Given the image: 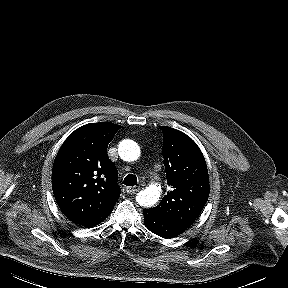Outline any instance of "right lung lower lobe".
<instances>
[{"instance_id":"obj_1","label":"right lung lower lobe","mask_w":288,"mask_h":288,"mask_svg":"<svg viewBox=\"0 0 288 288\" xmlns=\"http://www.w3.org/2000/svg\"><path fill=\"white\" fill-rule=\"evenodd\" d=\"M110 215V213L108 215H106L105 217L97 220V221H94V222H91V223H88L86 225H84L85 227H93L95 225H98L100 222H102L104 219H106L108 216Z\"/></svg>"}]
</instances>
